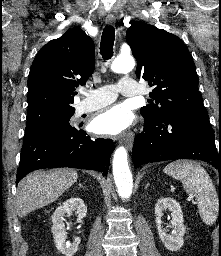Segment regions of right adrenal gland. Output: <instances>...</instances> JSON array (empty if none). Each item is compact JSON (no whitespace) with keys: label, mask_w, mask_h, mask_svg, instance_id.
Listing matches in <instances>:
<instances>
[{"label":"right adrenal gland","mask_w":221,"mask_h":256,"mask_svg":"<svg viewBox=\"0 0 221 256\" xmlns=\"http://www.w3.org/2000/svg\"><path fill=\"white\" fill-rule=\"evenodd\" d=\"M79 186H80L81 188H84L82 184H79Z\"/></svg>","instance_id":"1"}]
</instances>
